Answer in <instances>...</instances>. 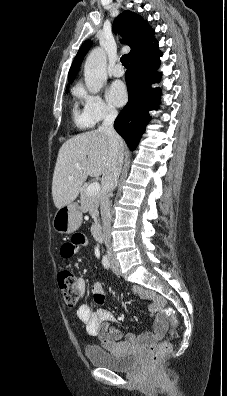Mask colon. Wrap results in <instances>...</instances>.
Segmentation results:
<instances>
[{
  "label": "colon",
  "instance_id": "1",
  "mask_svg": "<svg viewBox=\"0 0 227 396\" xmlns=\"http://www.w3.org/2000/svg\"><path fill=\"white\" fill-rule=\"evenodd\" d=\"M58 285L62 293V297L66 305L69 307H77L79 303L80 293L77 287V280L73 272L67 268H63L58 273ZM164 312L172 324V333L174 334L177 327V318L174 311L170 307H165ZM172 345L170 341L165 340L159 345L151 348L150 361L156 365L163 356L171 351Z\"/></svg>",
  "mask_w": 227,
  "mask_h": 396
}]
</instances>
